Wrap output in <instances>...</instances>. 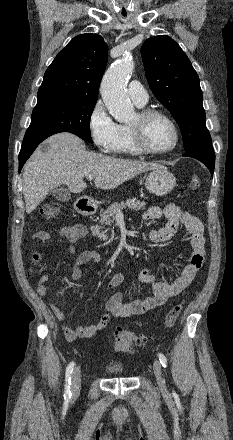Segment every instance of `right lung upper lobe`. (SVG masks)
Segmentation results:
<instances>
[{
    "instance_id": "obj_1",
    "label": "right lung upper lobe",
    "mask_w": 233,
    "mask_h": 440,
    "mask_svg": "<svg viewBox=\"0 0 233 440\" xmlns=\"http://www.w3.org/2000/svg\"><path fill=\"white\" fill-rule=\"evenodd\" d=\"M107 50L100 35L86 33L74 37L46 70L37 103L52 98L97 100Z\"/></svg>"
}]
</instances>
